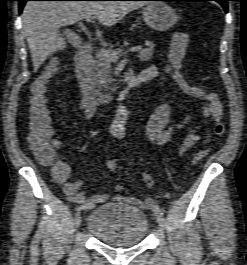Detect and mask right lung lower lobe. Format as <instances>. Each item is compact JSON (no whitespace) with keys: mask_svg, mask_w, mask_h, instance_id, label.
Listing matches in <instances>:
<instances>
[{"mask_svg":"<svg viewBox=\"0 0 247 265\" xmlns=\"http://www.w3.org/2000/svg\"><path fill=\"white\" fill-rule=\"evenodd\" d=\"M17 1H19V13H21L26 1H30V0H17ZM74 1H104V0H74Z\"/></svg>","mask_w":247,"mask_h":265,"instance_id":"right-lung-lower-lobe-1","label":"right lung lower lobe"}]
</instances>
